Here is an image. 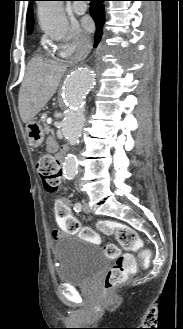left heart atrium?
<instances>
[{"mask_svg": "<svg viewBox=\"0 0 183 329\" xmlns=\"http://www.w3.org/2000/svg\"><path fill=\"white\" fill-rule=\"evenodd\" d=\"M83 26L87 31H91L93 29V23L90 19H85L83 21Z\"/></svg>", "mask_w": 183, "mask_h": 329, "instance_id": "1", "label": "left heart atrium"}]
</instances>
